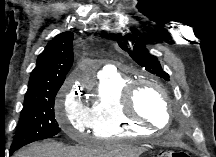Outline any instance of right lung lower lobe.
Segmentation results:
<instances>
[{
    "mask_svg": "<svg viewBox=\"0 0 216 157\" xmlns=\"http://www.w3.org/2000/svg\"><path fill=\"white\" fill-rule=\"evenodd\" d=\"M14 151H15V150L11 149V150H10V154H12Z\"/></svg>",
    "mask_w": 216,
    "mask_h": 157,
    "instance_id": "98d812e1",
    "label": "right lung lower lobe"
}]
</instances>
